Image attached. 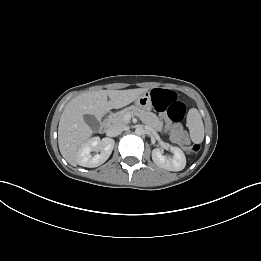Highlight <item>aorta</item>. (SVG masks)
Segmentation results:
<instances>
[{"instance_id":"1","label":"aorta","mask_w":261,"mask_h":261,"mask_svg":"<svg viewBox=\"0 0 261 261\" xmlns=\"http://www.w3.org/2000/svg\"><path fill=\"white\" fill-rule=\"evenodd\" d=\"M144 133V130L142 127H137L136 130H135V134L136 135H143Z\"/></svg>"}]
</instances>
